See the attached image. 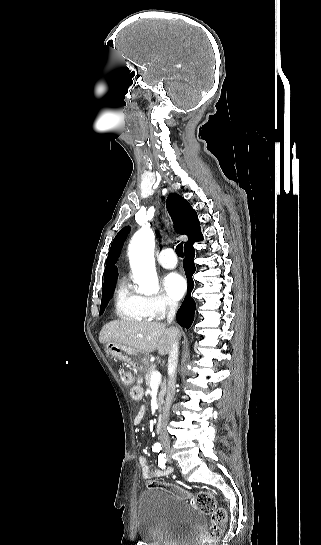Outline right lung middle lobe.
<instances>
[{
	"label": "right lung middle lobe",
	"mask_w": 321,
	"mask_h": 545,
	"mask_svg": "<svg viewBox=\"0 0 321 545\" xmlns=\"http://www.w3.org/2000/svg\"><path fill=\"white\" fill-rule=\"evenodd\" d=\"M114 289H115V285L114 286H111V287H108L106 289H103L102 291V302H101V306H100V315L103 314L111 296L113 295V292H114Z\"/></svg>",
	"instance_id": "right-lung-middle-lobe-1"
}]
</instances>
